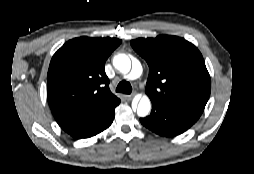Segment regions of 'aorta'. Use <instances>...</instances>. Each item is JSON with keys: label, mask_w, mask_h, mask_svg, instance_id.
<instances>
[{"label": "aorta", "mask_w": 254, "mask_h": 174, "mask_svg": "<svg viewBox=\"0 0 254 174\" xmlns=\"http://www.w3.org/2000/svg\"><path fill=\"white\" fill-rule=\"evenodd\" d=\"M113 65L118 71H120L123 74H127L131 71L130 76L133 79L140 77L143 71L142 65L138 60H134L131 63L130 58L124 54H119L115 56L113 60ZM150 110H151L150 99L147 96H143L138 103L137 114L140 117H145L149 114Z\"/></svg>", "instance_id": "aorta-1"}]
</instances>
